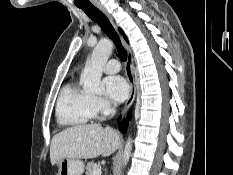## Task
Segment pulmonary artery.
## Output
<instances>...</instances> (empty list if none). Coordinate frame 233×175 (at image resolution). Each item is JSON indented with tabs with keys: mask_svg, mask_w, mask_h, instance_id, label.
Returning <instances> with one entry per match:
<instances>
[{
	"mask_svg": "<svg viewBox=\"0 0 233 175\" xmlns=\"http://www.w3.org/2000/svg\"><path fill=\"white\" fill-rule=\"evenodd\" d=\"M119 70H120V63L116 59H110L104 67V71L108 74L116 73Z\"/></svg>",
	"mask_w": 233,
	"mask_h": 175,
	"instance_id": "e3ab8cb5",
	"label": "pulmonary artery"
}]
</instances>
